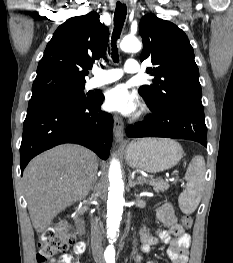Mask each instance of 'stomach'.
<instances>
[{"label":"stomach","mask_w":233,"mask_h":263,"mask_svg":"<svg viewBox=\"0 0 233 263\" xmlns=\"http://www.w3.org/2000/svg\"><path fill=\"white\" fill-rule=\"evenodd\" d=\"M179 143L165 138H144L129 143L125 148L127 163L150 173L174 167L182 158Z\"/></svg>","instance_id":"1"}]
</instances>
